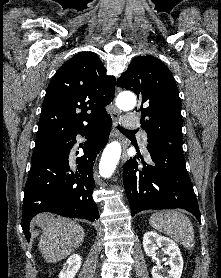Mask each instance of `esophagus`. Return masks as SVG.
<instances>
[{
  "label": "esophagus",
  "instance_id": "esophagus-1",
  "mask_svg": "<svg viewBox=\"0 0 221 278\" xmlns=\"http://www.w3.org/2000/svg\"><path fill=\"white\" fill-rule=\"evenodd\" d=\"M119 115H120V111L116 107H113L112 114H111L113 122H114V127H113V130H112V136L116 137V138L120 137V134L116 129V125L118 123ZM126 160H127L126 147L123 146V149H122V163H125Z\"/></svg>",
  "mask_w": 221,
  "mask_h": 278
}]
</instances>
